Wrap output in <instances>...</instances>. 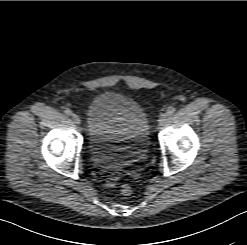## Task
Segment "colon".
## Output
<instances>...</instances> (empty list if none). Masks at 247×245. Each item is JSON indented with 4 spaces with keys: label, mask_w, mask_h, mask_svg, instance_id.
I'll use <instances>...</instances> for the list:
<instances>
[{
    "label": "colon",
    "mask_w": 247,
    "mask_h": 245,
    "mask_svg": "<svg viewBox=\"0 0 247 245\" xmlns=\"http://www.w3.org/2000/svg\"><path fill=\"white\" fill-rule=\"evenodd\" d=\"M121 193H122L123 196H126V197L130 196L131 193H132V188H131V186L128 185V184L122 185V186H121Z\"/></svg>",
    "instance_id": "obj_1"
}]
</instances>
